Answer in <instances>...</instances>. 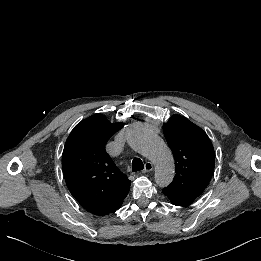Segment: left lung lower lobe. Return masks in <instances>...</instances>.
<instances>
[{
  "instance_id": "left-lung-lower-lobe-1",
  "label": "left lung lower lobe",
  "mask_w": 261,
  "mask_h": 261,
  "mask_svg": "<svg viewBox=\"0 0 261 261\" xmlns=\"http://www.w3.org/2000/svg\"><path fill=\"white\" fill-rule=\"evenodd\" d=\"M163 194H165L170 199L173 205L177 206H187L195 200L190 196L180 194L169 188H164Z\"/></svg>"
}]
</instances>
